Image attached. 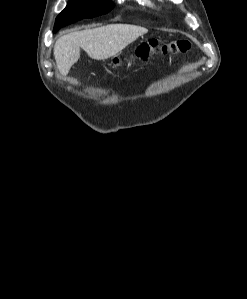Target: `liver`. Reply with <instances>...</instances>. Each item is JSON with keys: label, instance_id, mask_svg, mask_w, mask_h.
<instances>
[{"label": "liver", "instance_id": "6515ba94", "mask_svg": "<svg viewBox=\"0 0 247 299\" xmlns=\"http://www.w3.org/2000/svg\"><path fill=\"white\" fill-rule=\"evenodd\" d=\"M147 32L141 26L110 24L63 35L54 46L57 67L62 75H67L80 58V48L94 60L109 59Z\"/></svg>", "mask_w": 247, "mask_h": 299}]
</instances>
